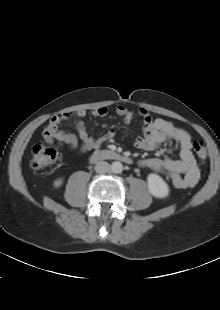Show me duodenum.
I'll return each instance as SVG.
<instances>
[{"label":"duodenum","mask_w":220,"mask_h":310,"mask_svg":"<svg viewBox=\"0 0 220 310\" xmlns=\"http://www.w3.org/2000/svg\"><path fill=\"white\" fill-rule=\"evenodd\" d=\"M101 159H109V160L121 161L124 163H131V159L128 156L111 150L97 151L93 153L90 157L91 162H97Z\"/></svg>","instance_id":"410a0bca"}]
</instances>
